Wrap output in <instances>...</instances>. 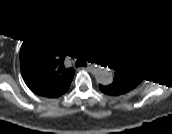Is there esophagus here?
Wrapping results in <instances>:
<instances>
[{"label":"esophagus","mask_w":172,"mask_h":134,"mask_svg":"<svg viewBox=\"0 0 172 134\" xmlns=\"http://www.w3.org/2000/svg\"><path fill=\"white\" fill-rule=\"evenodd\" d=\"M87 68L91 69L92 68V64L87 62Z\"/></svg>","instance_id":"34e87169"}]
</instances>
